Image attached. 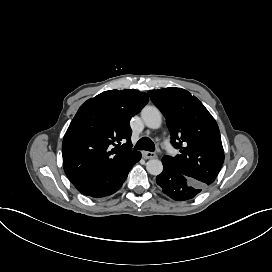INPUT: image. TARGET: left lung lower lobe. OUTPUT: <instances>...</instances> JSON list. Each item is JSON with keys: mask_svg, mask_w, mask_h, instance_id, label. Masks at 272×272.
<instances>
[{"mask_svg": "<svg viewBox=\"0 0 272 272\" xmlns=\"http://www.w3.org/2000/svg\"><path fill=\"white\" fill-rule=\"evenodd\" d=\"M163 172L156 177L163 192L176 201H186L198 195L206 186L181 174L174 167L163 161Z\"/></svg>", "mask_w": 272, "mask_h": 272, "instance_id": "obj_1", "label": "left lung lower lobe"}]
</instances>
